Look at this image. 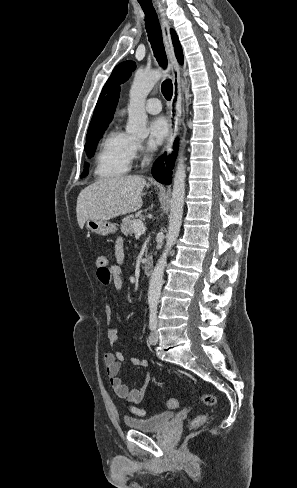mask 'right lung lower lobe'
Listing matches in <instances>:
<instances>
[{
  "label": "right lung lower lobe",
  "mask_w": 297,
  "mask_h": 488,
  "mask_svg": "<svg viewBox=\"0 0 297 488\" xmlns=\"http://www.w3.org/2000/svg\"><path fill=\"white\" fill-rule=\"evenodd\" d=\"M177 149V142H175V150ZM163 158H161L159 161L162 162L164 159H165V155L162 156ZM175 152L173 153L172 157L169 156L167 159H165V162H166V165L167 167L165 168L164 167V163H160L158 164V162H156V165L154 166V168L152 169V174L154 176V178L160 182V183H163V184H170L171 181H172V167L174 165V160H175Z\"/></svg>",
  "instance_id": "1"
}]
</instances>
